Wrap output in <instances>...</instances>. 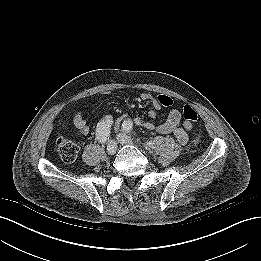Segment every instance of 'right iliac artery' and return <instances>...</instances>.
Returning <instances> with one entry per match:
<instances>
[{"mask_svg":"<svg viewBox=\"0 0 261 261\" xmlns=\"http://www.w3.org/2000/svg\"><path fill=\"white\" fill-rule=\"evenodd\" d=\"M113 123L111 116H106L105 119L97 124L96 137L101 143H105L109 139L110 127Z\"/></svg>","mask_w":261,"mask_h":261,"instance_id":"1","label":"right iliac artery"}]
</instances>
